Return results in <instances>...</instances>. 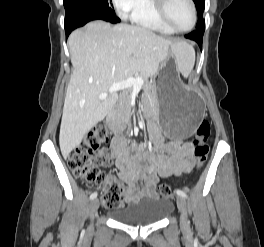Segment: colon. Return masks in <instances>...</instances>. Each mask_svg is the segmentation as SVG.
I'll return each instance as SVG.
<instances>
[{"label": "colon", "instance_id": "colon-1", "mask_svg": "<svg viewBox=\"0 0 264 247\" xmlns=\"http://www.w3.org/2000/svg\"><path fill=\"white\" fill-rule=\"evenodd\" d=\"M210 132L211 127L207 120H202L195 131L192 144L198 168H201L207 160L209 154L207 141ZM107 141V129L104 126L96 127L70 153L67 163L77 178L90 185H101L103 206L116 209L123 205L121 186L115 178L108 176L101 169L106 164ZM157 192L163 198L171 195V190L167 185L158 186Z\"/></svg>", "mask_w": 264, "mask_h": 247}]
</instances>
